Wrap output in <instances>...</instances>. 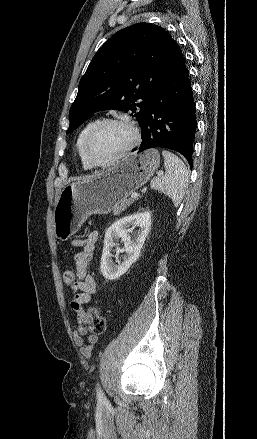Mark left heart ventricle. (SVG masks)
Masks as SVG:
<instances>
[{"label": "left heart ventricle", "instance_id": "left-heart-ventricle-1", "mask_svg": "<svg viewBox=\"0 0 257 439\" xmlns=\"http://www.w3.org/2000/svg\"><path fill=\"white\" fill-rule=\"evenodd\" d=\"M131 132L122 125H106L90 144V154L97 162H106L118 155L130 142Z\"/></svg>", "mask_w": 257, "mask_h": 439}]
</instances>
